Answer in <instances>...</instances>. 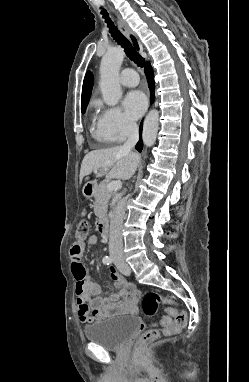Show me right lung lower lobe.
I'll use <instances>...</instances> for the list:
<instances>
[{
  "instance_id": "obj_1",
  "label": "right lung lower lobe",
  "mask_w": 249,
  "mask_h": 382,
  "mask_svg": "<svg viewBox=\"0 0 249 382\" xmlns=\"http://www.w3.org/2000/svg\"><path fill=\"white\" fill-rule=\"evenodd\" d=\"M145 74L147 76V80H148V86H149V89H150V94H151V97H150V100H151V103H153L154 101V90H155V85H154V76H153V70H152V67L149 63H147L146 65V68H145ZM141 132H142V122L140 124V136H141ZM142 148H143V143L142 141L140 140L137 145H136V149L141 152L142 151Z\"/></svg>"
}]
</instances>
